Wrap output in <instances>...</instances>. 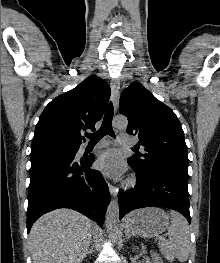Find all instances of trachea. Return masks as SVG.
<instances>
[{
	"mask_svg": "<svg viewBox=\"0 0 220 263\" xmlns=\"http://www.w3.org/2000/svg\"><path fill=\"white\" fill-rule=\"evenodd\" d=\"M113 113V104L110 102L105 111V115L100 129L97 132H94L93 134L86 135V137L90 139V143L98 142L105 135H110L112 137L115 136L112 128Z\"/></svg>",
	"mask_w": 220,
	"mask_h": 263,
	"instance_id": "1",
	"label": "trachea"
}]
</instances>
